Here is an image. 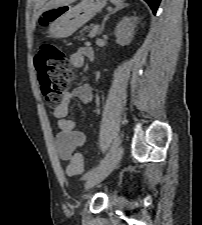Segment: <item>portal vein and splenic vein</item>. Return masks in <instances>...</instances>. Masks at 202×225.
<instances>
[{
	"label": "portal vein and splenic vein",
	"mask_w": 202,
	"mask_h": 225,
	"mask_svg": "<svg viewBox=\"0 0 202 225\" xmlns=\"http://www.w3.org/2000/svg\"><path fill=\"white\" fill-rule=\"evenodd\" d=\"M98 29H99V25H95L92 30L90 31L89 33V37L90 38H93L96 36L97 32H98Z\"/></svg>",
	"instance_id": "obj_1"
}]
</instances>
